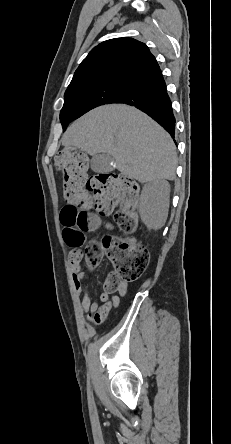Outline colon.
<instances>
[{
	"instance_id": "1",
	"label": "colon",
	"mask_w": 231,
	"mask_h": 444,
	"mask_svg": "<svg viewBox=\"0 0 231 444\" xmlns=\"http://www.w3.org/2000/svg\"><path fill=\"white\" fill-rule=\"evenodd\" d=\"M56 167L63 176V195L67 205L61 211L64 227L84 232L97 229L101 217L115 214L118 226L131 232L137 225L135 208L139 196L138 183L122 174L104 173L88 178L86 155L73 148H64L56 156ZM106 255L113 264L104 281L105 293H113L121 284L139 279L146 271L149 251L132 239L107 235L101 241L86 244L84 258L95 268Z\"/></svg>"
}]
</instances>
